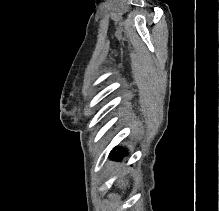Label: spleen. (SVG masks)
<instances>
[{
  "label": "spleen",
  "mask_w": 219,
  "mask_h": 211,
  "mask_svg": "<svg viewBox=\"0 0 219 211\" xmlns=\"http://www.w3.org/2000/svg\"><path fill=\"white\" fill-rule=\"evenodd\" d=\"M127 183H128L127 179H118L117 181L118 187H122V189L123 187H126Z\"/></svg>",
  "instance_id": "spleen-1"
}]
</instances>
